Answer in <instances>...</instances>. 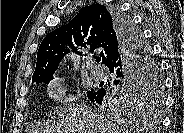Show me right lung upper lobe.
<instances>
[{
  "instance_id": "1",
  "label": "right lung upper lobe",
  "mask_w": 184,
  "mask_h": 133,
  "mask_svg": "<svg viewBox=\"0 0 184 133\" xmlns=\"http://www.w3.org/2000/svg\"><path fill=\"white\" fill-rule=\"evenodd\" d=\"M67 45L79 55L83 49L101 51L103 62L107 65L121 48L112 11L98 3L85 6L67 25L50 32L38 49L32 82L53 76L68 53Z\"/></svg>"
}]
</instances>
